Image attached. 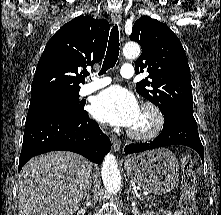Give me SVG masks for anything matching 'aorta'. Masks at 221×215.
I'll return each mask as SVG.
<instances>
[{"label":"aorta","instance_id":"762f6f07","mask_svg":"<svg viewBox=\"0 0 221 215\" xmlns=\"http://www.w3.org/2000/svg\"><path fill=\"white\" fill-rule=\"evenodd\" d=\"M123 55L127 59H135L140 55V46L137 43L130 42L123 47ZM102 180L105 189L110 193H117L121 188V175L118 169V163L115 156L107 154L102 164Z\"/></svg>","mask_w":221,"mask_h":215}]
</instances>
